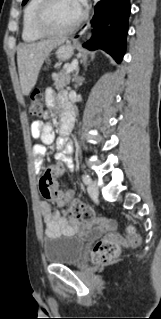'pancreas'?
Segmentation results:
<instances>
[{
    "instance_id": "1",
    "label": "pancreas",
    "mask_w": 161,
    "mask_h": 319,
    "mask_svg": "<svg viewBox=\"0 0 161 319\" xmlns=\"http://www.w3.org/2000/svg\"><path fill=\"white\" fill-rule=\"evenodd\" d=\"M68 67L69 66L66 65L59 73L52 74V79L54 81V86L56 90H62L69 84L70 75L66 72Z\"/></svg>"
}]
</instances>
